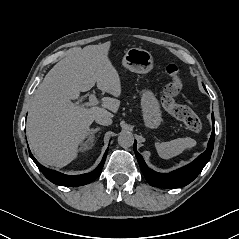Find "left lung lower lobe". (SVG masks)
Listing matches in <instances>:
<instances>
[{"label": "left lung lower lobe", "instance_id": "obj_1", "mask_svg": "<svg viewBox=\"0 0 239 239\" xmlns=\"http://www.w3.org/2000/svg\"><path fill=\"white\" fill-rule=\"evenodd\" d=\"M212 122H213V130L206 151L202 153L200 156H198V158H196L192 163L170 173H158L148 168L141 154H139L136 150V141H135L134 152L137 157L140 169L143 172L145 179L148 181V183L152 186L160 188H179L186 186L187 184L192 182L202 171L207 162L210 160L215 139L213 113H212Z\"/></svg>", "mask_w": 239, "mask_h": 239}]
</instances>
